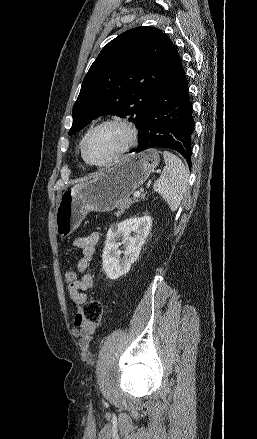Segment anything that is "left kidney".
<instances>
[{
  "label": "left kidney",
  "mask_w": 257,
  "mask_h": 439,
  "mask_svg": "<svg viewBox=\"0 0 257 439\" xmlns=\"http://www.w3.org/2000/svg\"><path fill=\"white\" fill-rule=\"evenodd\" d=\"M151 226V217L143 216L124 220L109 228L102 254L103 270L109 279H118L129 272L131 265L139 257ZM121 245L124 247L123 251L119 250Z\"/></svg>",
  "instance_id": "5707ae66"
}]
</instances>
